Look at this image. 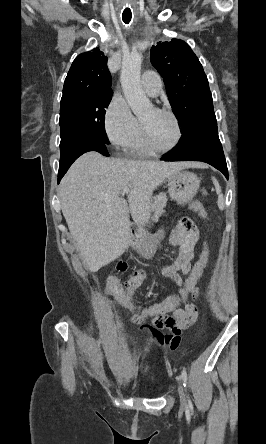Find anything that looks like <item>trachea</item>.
<instances>
[{
  "mask_svg": "<svg viewBox=\"0 0 266 444\" xmlns=\"http://www.w3.org/2000/svg\"><path fill=\"white\" fill-rule=\"evenodd\" d=\"M132 18V13L129 8H126L122 14V20L125 24H129Z\"/></svg>",
  "mask_w": 266,
  "mask_h": 444,
  "instance_id": "1",
  "label": "trachea"
}]
</instances>
